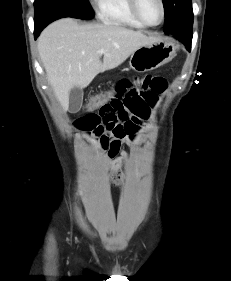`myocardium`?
Segmentation results:
<instances>
[{"label": "myocardium", "mask_w": 231, "mask_h": 281, "mask_svg": "<svg viewBox=\"0 0 231 281\" xmlns=\"http://www.w3.org/2000/svg\"><path fill=\"white\" fill-rule=\"evenodd\" d=\"M158 1L161 6V19L157 24H151L148 21H146V19L143 17V15L140 11L139 0H130V6H131L133 14L142 24H144L147 27H157L164 22L165 16H166V8H165L164 1L163 0H158Z\"/></svg>", "instance_id": "f54148a6"}]
</instances>
